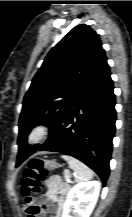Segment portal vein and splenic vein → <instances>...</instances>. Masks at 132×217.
<instances>
[{
  "label": "portal vein and splenic vein",
  "mask_w": 132,
  "mask_h": 217,
  "mask_svg": "<svg viewBox=\"0 0 132 217\" xmlns=\"http://www.w3.org/2000/svg\"><path fill=\"white\" fill-rule=\"evenodd\" d=\"M65 179L67 182H71L70 181V174L65 172Z\"/></svg>",
  "instance_id": "portal-vein-and-splenic-vein-1"
}]
</instances>
